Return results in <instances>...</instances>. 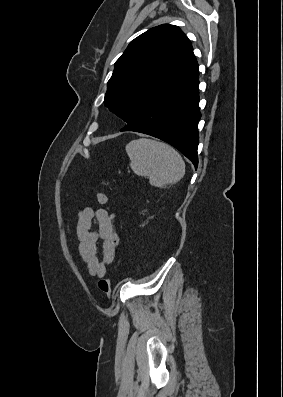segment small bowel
<instances>
[{
    "label": "small bowel",
    "mask_w": 283,
    "mask_h": 397,
    "mask_svg": "<svg viewBox=\"0 0 283 397\" xmlns=\"http://www.w3.org/2000/svg\"><path fill=\"white\" fill-rule=\"evenodd\" d=\"M76 233L79 254L88 273L94 277L105 276L119 246L114 215L105 209L83 207L77 212ZM99 241L102 242L101 258L98 257Z\"/></svg>",
    "instance_id": "1"
}]
</instances>
